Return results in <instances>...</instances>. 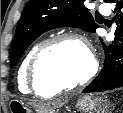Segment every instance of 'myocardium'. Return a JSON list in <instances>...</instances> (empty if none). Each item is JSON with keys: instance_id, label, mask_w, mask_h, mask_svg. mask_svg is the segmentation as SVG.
I'll use <instances>...</instances> for the list:
<instances>
[{"instance_id": "obj_1", "label": "myocardium", "mask_w": 123, "mask_h": 113, "mask_svg": "<svg viewBox=\"0 0 123 113\" xmlns=\"http://www.w3.org/2000/svg\"><path fill=\"white\" fill-rule=\"evenodd\" d=\"M63 41H74L79 43L84 49L87 51L90 58V68L89 71L78 81L74 82L70 85H60L51 88L49 91H44L41 89L39 82L37 80V65L39 60L45 55L50 49H52L56 44ZM97 72V60L95 58L94 53L91 50V47L85 37L77 33H63L57 36H54L50 39H47L43 43H41L37 49L34 51L28 68H27V80L29 86L37 93V94H46V93H65L72 91L80 86L88 83Z\"/></svg>"}]
</instances>
